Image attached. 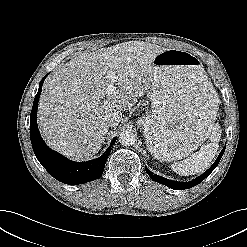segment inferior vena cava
<instances>
[{"label":"inferior vena cava","instance_id":"602c4592","mask_svg":"<svg viewBox=\"0 0 247 247\" xmlns=\"http://www.w3.org/2000/svg\"><path fill=\"white\" fill-rule=\"evenodd\" d=\"M107 124L109 126H117L119 122L121 121V116L118 113H114L107 118Z\"/></svg>","mask_w":247,"mask_h":247}]
</instances>
